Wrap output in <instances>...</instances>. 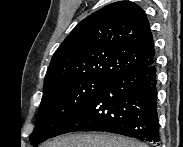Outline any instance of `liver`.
<instances>
[{"label":"liver","instance_id":"1","mask_svg":"<svg viewBox=\"0 0 183 147\" xmlns=\"http://www.w3.org/2000/svg\"><path fill=\"white\" fill-rule=\"evenodd\" d=\"M44 147H147L133 139L107 133H78L59 137Z\"/></svg>","mask_w":183,"mask_h":147}]
</instances>
